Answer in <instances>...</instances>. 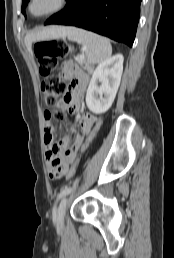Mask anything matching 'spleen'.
I'll list each match as a JSON object with an SVG mask.
<instances>
[{
  "label": "spleen",
  "mask_w": 174,
  "mask_h": 258,
  "mask_svg": "<svg viewBox=\"0 0 174 258\" xmlns=\"http://www.w3.org/2000/svg\"><path fill=\"white\" fill-rule=\"evenodd\" d=\"M66 36L68 40L82 45L87 62L90 64L100 63L112 54L110 41L96 33L76 27H67Z\"/></svg>",
  "instance_id": "1"
}]
</instances>
